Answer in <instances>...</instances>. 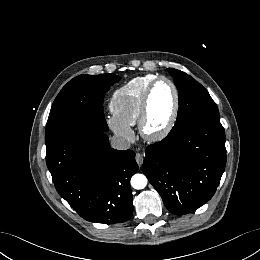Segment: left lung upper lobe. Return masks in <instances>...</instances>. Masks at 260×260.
Listing matches in <instances>:
<instances>
[{
    "label": "left lung upper lobe",
    "instance_id": "5c2ea615",
    "mask_svg": "<svg viewBox=\"0 0 260 260\" xmlns=\"http://www.w3.org/2000/svg\"><path fill=\"white\" fill-rule=\"evenodd\" d=\"M179 91V110L177 120L172 128L175 130L203 114H219L218 108L208 91L188 74L169 68Z\"/></svg>",
    "mask_w": 260,
    "mask_h": 260
}]
</instances>
